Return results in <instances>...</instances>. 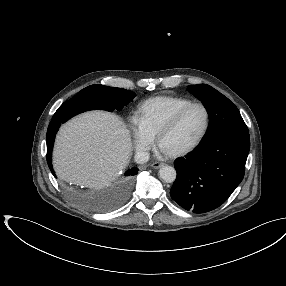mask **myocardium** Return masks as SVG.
Listing matches in <instances>:
<instances>
[{
    "label": "myocardium",
    "instance_id": "obj_1",
    "mask_svg": "<svg viewBox=\"0 0 286 286\" xmlns=\"http://www.w3.org/2000/svg\"><path fill=\"white\" fill-rule=\"evenodd\" d=\"M195 106H199L203 109L204 113H205V125L204 128L200 134V136L197 138V140L191 144L189 147L179 150V151H175V152H166L168 155L172 156V157H182L185 156L187 154H190L191 152L195 151L200 145L201 143L204 141L209 128H210V122H211V117H210V111L207 108V106L205 104H203L202 102H192L184 107H182L181 109H179L159 130L158 134H157V144L158 146L162 149V140L164 138V136L172 129L176 126V124L180 121V119L182 118V116L192 107Z\"/></svg>",
    "mask_w": 286,
    "mask_h": 286
}]
</instances>
